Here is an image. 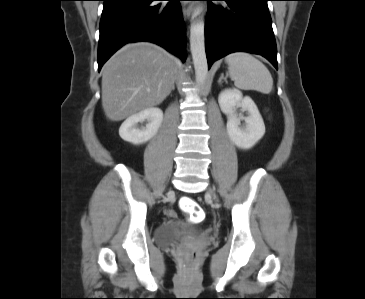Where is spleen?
I'll list each match as a JSON object with an SVG mask.
<instances>
[{"instance_id": "1", "label": "spleen", "mask_w": 365, "mask_h": 299, "mask_svg": "<svg viewBox=\"0 0 365 299\" xmlns=\"http://www.w3.org/2000/svg\"><path fill=\"white\" fill-rule=\"evenodd\" d=\"M225 61L229 66V76L237 88L256 90L265 94L272 91L273 79L269 70L251 54L232 53Z\"/></svg>"}]
</instances>
